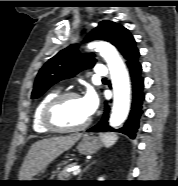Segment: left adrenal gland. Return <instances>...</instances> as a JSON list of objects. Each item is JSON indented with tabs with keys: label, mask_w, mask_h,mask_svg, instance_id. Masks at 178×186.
Masks as SVG:
<instances>
[{
	"label": "left adrenal gland",
	"mask_w": 178,
	"mask_h": 186,
	"mask_svg": "<svg viewBox=\"0 0 178 186\" xmlns=\"http://www.w3.org/2000/svg\"><path fill=\"white\" fill-rule=\"evenodd\" d=\"M93 163H95V161H93L91 164H93ZM89 166H90V165H89ZM89 166H88V167H89ZM88 167H86V168L83 170V173L88 169ZM83 173H81V174L79 175L78 181H80V178H81V176H82Z\"/></svg>",
	"instance_id": "left-adrenal-gland-1"
}]
</instances>
